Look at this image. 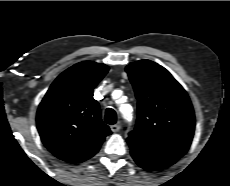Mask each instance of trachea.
Instances as JSON below:
<instances>
[{
    "label": "trachea",
    "mask_w": 230,
    "mask_h": 186,
    "mask_svg": "<svg viewBox=\"0 0 230 186\" xmlns=\"http://www.w3.org/2000/svg\"><path fill=\"white\" fill-rule=\"evenodd\" d=\"M104 119L107 124H110V125L115 124L117 120L116 112L112 108H108L106 110Z\"/></svg>",
    "instance_id": "trachea-1"
}]
</instances>
